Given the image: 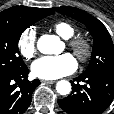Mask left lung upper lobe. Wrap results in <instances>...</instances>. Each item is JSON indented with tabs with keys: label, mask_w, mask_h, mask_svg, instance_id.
I'll use <instances>...</instances> for the list:
<instances>
[{
	"label": "left lung upper lobe",
	"mask_w": 114,
	"mask_h": 114,
	"mask_svg": "<svg viewBox=\"0 0 114 114\" xmlns=\"http://www.w3.org/2000/svg\"><path fill=\"white\" fill-rule=\"evenodd\" d=\"M57 12L85 24L94 39L90 63L84 73L114 72V45L106 27L92 15L73 7H55Z\"/></svg>",
	"instance_id": "left-lung-upper-lobe-1"
}]
</instances>
